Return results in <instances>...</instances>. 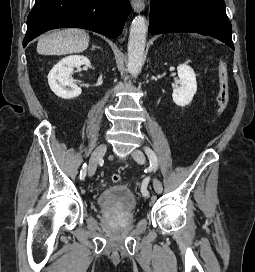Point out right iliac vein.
<instances>
[{
	"label": "right iliac vein",
	"instance_id": "1",
	"mask_svg": "<svg viewBox=\"0 0 255 272\" xmlns=\"http://www.w3.org/2000/svg\"><path fill=\"white\" fill-rule=\"evenodd\" d=\"M107 150L106 144L99 145L92 153L89 161L88 175L93 176L96 172L99 160L104 156Z\"/></svg>",
	"mask_w": 255,
	"mask_h": 272
}]
</instances>
